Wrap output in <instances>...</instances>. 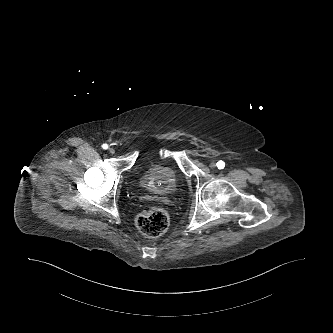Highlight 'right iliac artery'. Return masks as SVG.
Wrapping results in <instances>:
<instances>
[{
  "instance_id": "right-iliac-artery-1",
  "label": "right iliac artery",
  "mask_w": 333,
  "mask_h": 333,
  "mask_svg": "<svg viewBox=\"0 0 333 333\" xmlns=\"http://www.w3.org/2000/svg\"><path fill=\"white\" fill-rule=\"evenodd\" d=\"M102 148H103L104 150H106V149H108V145L105 143V144L102 145Z\"/></svg>"
}]
</instances>
